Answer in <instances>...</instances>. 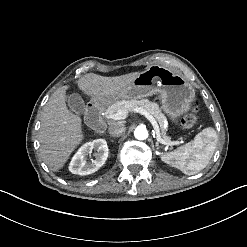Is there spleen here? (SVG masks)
<instances>
[{"instance_id":"obj_1","label":"spleen","mask_w":247,"mask_h":247,"mask_svg":"<svg viewBox=\"0 0 247 247\" xmlns=\"http://www.w3.org/2000/svg\"><path fill=\"white\" fill-rule=\"evenodd\" d=\"M218 137L212 127L203 129L191 144L179 147L161 156L162 161L178 168L186 175H194L204 169L215 150Z\"/></svg>"}]
</instances>
